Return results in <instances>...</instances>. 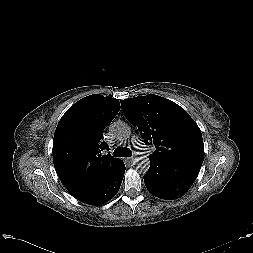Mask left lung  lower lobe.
<instances>
[{
    "label": "left lung lower lobe",
    "mask_w": 253,
    "mask_h": 253,
    "mask_svg": "<svg viewBox=\"0 0 253 253\" xmlns=\"http://www.w3.org/2000/svg\"><path fill=\"white\" fill-rule=\"evenodd\" d=\"M150 167L144 175L148 191L161 199L183 196L195 181L202 163L181 159L149 157Z\"/></svg>",
    "instance_id": "obj_1"
}]
</instances>
